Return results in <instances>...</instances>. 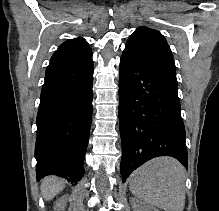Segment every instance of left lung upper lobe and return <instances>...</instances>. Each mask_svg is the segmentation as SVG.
<instances>
[{
    "label": "left lung upper lobe",
    "instance_id": "5c2ea615",
    "mask_svg": "<svg viewBox=\"0 0 219 211\" xmlns=\"http://www.w3.org/2000/svg\"><path fill=\"white\" fill-rule=\"evenodd\" d=\"M123 52L163 71L176 79V66L164 36L157 30L139 27L129 37Z\"/></svg>",
    "mask_w": 219,
    "mask_h": 211
}]
</instances>
